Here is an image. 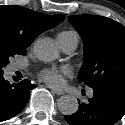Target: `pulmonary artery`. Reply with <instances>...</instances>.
I'll return each mask as SVG.
<instances>
[{"label":"pulmonary artery","mask_w":125,"mask_h":125,"mask_svg":"<svg viewBox=\"0 0 125 125\" xmlns=\"http://www.w3.org/2000/svg\"><path fill=\"white\" fill-rule=\"evenodd\" d=\"M58 42L65 52L72 53L78 46L79 37L77 34H70L68 36L58 35ZM89 95L92 96L93 92L90 91Z\"/></svg>","instance_id":"e3ab8cb5"}]
</instances>
